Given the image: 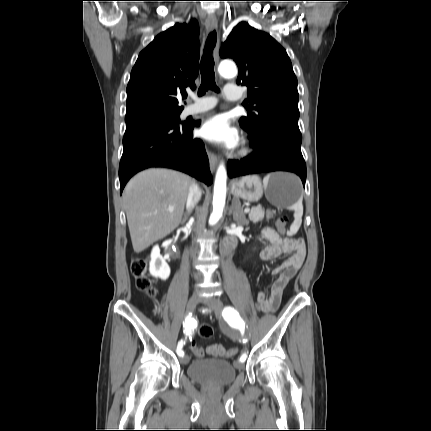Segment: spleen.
Masks as SVG:
<instances>
[{
    "mask_svg": "<svg viewBox=\"0 0 431 431\" xmlns=\"http://www.w3.org/2000/svg\"><path fill=\"white\" fill-rule=\"evenodd\" d=\"M268 179H269V175L268 176H266L264 179H263V183H267L268 182ZM292 209L294 210V221H293V223L291 224V227H290V234H295L298 230H299V228H300V226H301V223H302V216H303V204H302V196H301V198L292 206Z\"/></svg>",
    "mask_w": 431,
    "mask_h": 431,
    "instance_id": "spleen-1",
    "label": "spleen"
}]
</instances>
